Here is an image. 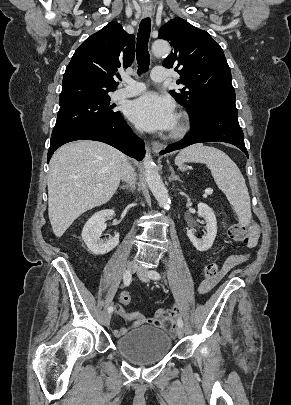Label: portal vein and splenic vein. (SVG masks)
Listing matches in <instances>:
<instances>
[{"mask_svg": "<svg viewBox=\"0 0 291 405\" xmlns=\"http://www.w3.org/2000/svg\"><path fill=\"white\" fill-rule=\"evenodd\" d=\"M213 193V189H211V188H207L206 190H205V194L206 195H211Z\"/></svg>", "mask_w": 291, "mask_h": 405, "instance_id": "portal-vein-and-splenic-vein-1", "label": "portal vein and splenic vein"}]
</instances>
